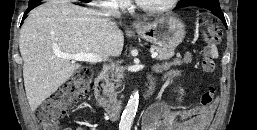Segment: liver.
Returning <instances> with one entry per match:
<instances>
[{
    "label": "liver",
    "mask_w": 257,
    "mask_h": 130,
    "mask_svg": "<svg viewBox=\"0 0 257 130\" xmlns=\"http://www.w3.org/2000/svg\"><path fill=\"white\" fill-rule=\"evenodd\" d=\"M123 45V33L117 26L111 29L100 12L58 0L32 10L19 40L30 109L35 111L81 66L56 53H93L107 58L120 55Z\"/></svg>",
    "instance_id": "obj_1"
}]
</instances>
